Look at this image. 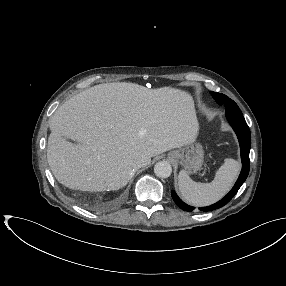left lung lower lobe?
<instances>
[{"label":"left lung lower lobe","mask_w":286,"mask_h":286,"mask_svg":"<svg viewBox=\"0 0 286 286\" xmlns=\"http://www.w3.org/2000/svg\"><path fill=\"white\" fill-rule=\"evenodd\" d=\"M225 115L230 125L234 129L238 137V140H239L241 160H242V170L238 177V180L236 181L231 191L219 202L213 205L207 206V207L199 208V210L201 211H212V210L219 209L223 207L224 205H226L233 198V196L237 193V191L239 190L241 185L244 183L249 173V168H250L249 152H250V147H251V133H250L249 127L242 114L227 112L225 113ZM171 195H172L174 202L182 210L191 212L195 209V207L185 204L177 196V194L174 191L171 192Z\"/></svg>","instance_id":"1"}]
</instances>
